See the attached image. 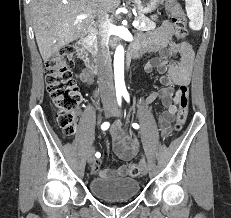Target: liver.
<instances>
[{"mask_svg": "<svg viewBox=\"0 0 231 218\" xmlns=\"http://www.w3.org/2000/svg\"><path fill=\"white\" fill-rule=\"evenodd\" d=\"M120 0H31L30 13L37 45L46 62L62 47L82 38L94 18L112 13ZM86 15L84 19L78 16Z\"/></svg>", "mask_w": 231, "mask_h": 218, "instance_id": "1", "label": "liver"}]
</instances>
